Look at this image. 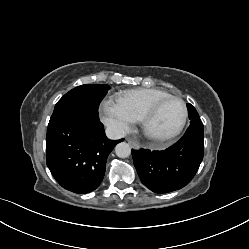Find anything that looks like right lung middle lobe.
<instances>
[{
    "label": "right lung middle lobe",
    "mask_w": 249,
    "mask_h": 249,
    "mask_svg": "<svg viewBox=\"0 0 249 249\" xmlns=\"http://www.w3.org/2000/svg\"><path fill=\"white\" fill-rule=\"evenodd\" d=\"M109 89L106 84H86L70 90L56 103L48 128L77 115H98V106Z\"/></svg>",
    "instance_id": "right-lung-middle-lobe-1"
}]
</instances>
